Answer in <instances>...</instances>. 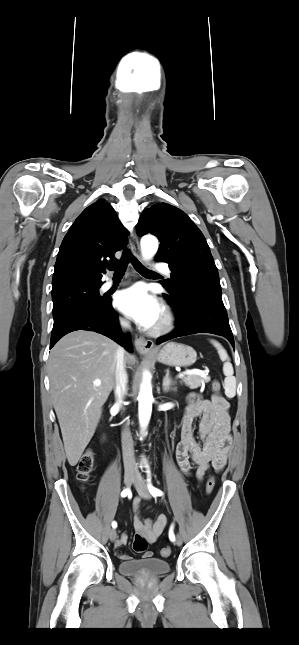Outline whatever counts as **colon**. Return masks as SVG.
<instances>
[{
	"mask_svg": "<svg viewBox=\"0 0 299 645\" xmlns=\"http://www.w3.org/2000/svg\"><path fill=\"white\" fill-rule=\"evenodd\" d=\"M212 390L215 393H219L221 390L220 383L217 380L212 382ZM95 466V457L94 452L91 449H88L83 453L79 462L77 464V478L81 482H87L94 470ZM215 486L214 477H210L206 482V492L211 494ZM148 542L141 535L136 534L133 540V549L137 553H145L147 550ZM161 556L168 557L171 554L170 548H162L160 551Z\"/></svg>",
	"mask_w": 299,
	"mask_h": 645,
	"instance_id": "5ec220e1",
	"label": "colon"
}]
</instances>
